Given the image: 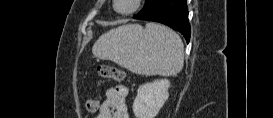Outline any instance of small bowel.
<instances>
[{
  "label": "small bowel",
  "mask_w": 273,
  "mask_h": 118,
  "mask_svg": "<svg viewBox=\"0 0 273 118\" xmlns=\"http://www.w3.org/2000/svg\"><path fill=\"white\" fill-rule=\"evenodd\" d=\"M128 95L129 90L124 85H117L107 89L105 98L99 106L98 118H127Z\"/></svg>",
  "instance_id": "obj_1"
}]
</instances>
